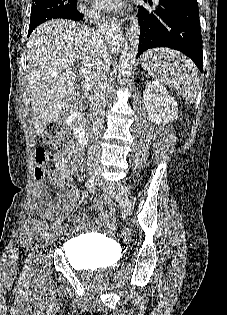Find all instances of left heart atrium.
<instances>
[{"instance_id":"obj_1","label":"left heart atrium","mask_w":227,"mask_h":315,"mask_svg":"<svg viewBox=\"0 0 227 315\" xmlns=\"http://www.w3.org/2000/svg\"><path fill=\"white\" fill-rule=\"evenodd\" d=\"M94 3L105 11L117 12L122 9L124 0H94Z\"/></svg>"}]
</instances>
